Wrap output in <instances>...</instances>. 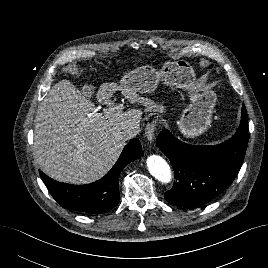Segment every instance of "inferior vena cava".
<instances>
[{"label":"inferior vena cava","instance_id":"1","mask_svg":"<svg viewBox=\"0 0 268 268\" xmlns=\"http://www.w3.org/2000/svg\"><path fill=\"white\" fill-rule=\"evenodd\" d=\"M139 133V127H133L126 131L115 132L114 137L122 140H128L130 138L135 137Z\"/></svg>","mask_w":268,"mask_h":268}]
</instances>
